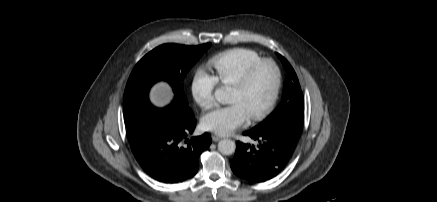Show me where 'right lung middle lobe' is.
<instances>
[{"mask_svg": "<svg viewBox=\"0 0 437 202\" xmlns=\"http://www.w3.org/2000/svg\"><path fill=\"white\" fill-rule=\"evenodd\" d=\"M210 46L211 43L192 47L164 44L136 64L124 92V121L130 141L136 140L144 132L147 120L159 112L167 110L181 115L193 114L181 90V82ZM161 80L169 83L175 94L172 103L164 109L154 107L148 98L151 86Z\"/></svg>", "mask_w": 437, "mask_h": 202, "instance_id": "dd1d6c3e", "label": "right lung middle lobe"}]
</instances>
